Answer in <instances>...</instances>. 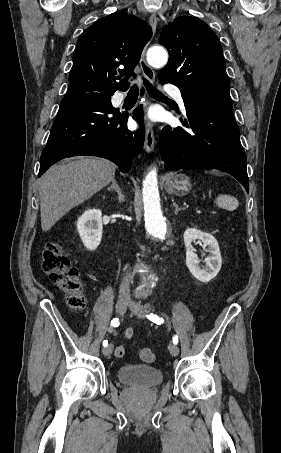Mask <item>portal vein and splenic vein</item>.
I'll use <instances>...</instances> for the list:
<instances>
[{
    "mask_svg": "<svg viewBox=\"0 0 281 453\" xmlns=\"http://www.w3.org/2000/svg\"><path fill=\"white\" fill-rule=\"evenodd\" d=\"M185 207H186V208H189V205H186ZM193 210H194V211H197L198 213L200 212V211L198 210V208H194ZM211 212H212L214 215H218V214H219V213H218V212H219L218 210H217V211H216V210H212ZM199 214L201 215L202 213L200 212Z\"/></svg>",
    "mask_w": 281,
    "mask_h": 453,
    "instance_id": "1",
    "label": "portal vein and splenic vein"
}]
</instances>
